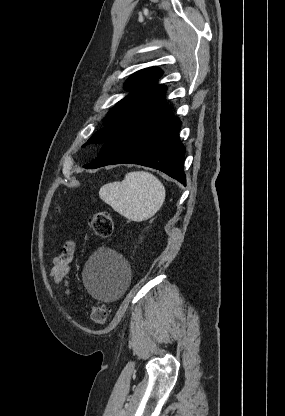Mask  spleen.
<instances>
[{
	"label": "spleen",
	"instance_id": "spleen-1",
	"mask_svg": "<svg viewBox=\"0 0 285 416\" xmlns=\"http://www.w3.org/2000/svg\"><path fill=\"white\" fill-rule=\"evenodd\" d=\"M99 196L127 220L144 222L155 216L163 206L166 192L163 184L153 174L130 172L123 182L102 186Z\"/></svg>",
	"mask_w": 285,
	"mask_h": 416
}]
</instances>
